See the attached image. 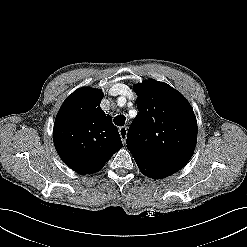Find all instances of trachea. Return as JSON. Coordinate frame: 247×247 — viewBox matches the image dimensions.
I'll list each match as a JSON object with an SVG mask.
<instances>
[{
	"mask_svg": "<svg viewBox=\"0 0 247 247\" xmlns=\"http://www.w3.org/2000/svg\"><path fill=\"white\" fill-rule=\"evenodd\" d=\"M113 121L117 126H123L125 124L126 117L124 115H118Z\"/></svg>",
	"mask_w": 247,
	"mask_h": 247,
	"instance_id": "1",
	"label": "trachea"
}]
</instances>
